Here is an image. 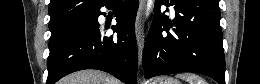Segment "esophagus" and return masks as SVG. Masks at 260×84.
Instances as JSON below:
<instances>
[{
  "label": "esophagus",
  "mask_w": 260,
  "mask_h": 84,
  "mask_svg": "<svg viewBox=\"0 0 260 84\" xmlns=\"http://www.w3.org/2000/svg\"><path fill=\"white\" fill-rule=\"evenodd\" d=\"M144 4H145V0H140L139 9H138L137 17H136V21H135V34H136L137 47H138L139 65H141V62H142L144 37H145L144 29H143V26L141 23Z\"/></svg>",
  "instance_id": "34e87169"
}]
</instances>
